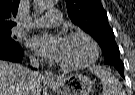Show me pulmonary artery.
<instances>
[{"instance_id":"pulmonary-artery-1","label":"pulmonary artery","mask_w":135,"mask_h":95,"mask_svg":"<svg viewBox=\"0 0 135 95\" xmlns=\"http://www.w3.org/2000/svg\"><path fill=\"white\" fill-rule=\"evenodd\" d=\"M62 22V15L58 10H50L44 16L36 19L31 23V28H37L41 26H54Z\"/></svg>"}]
</instances>
